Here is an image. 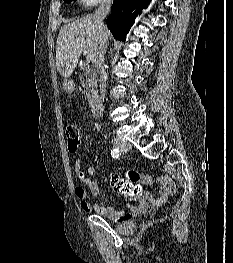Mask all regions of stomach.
Here are the masks:
<instances>
[{
    "label": "stomach",
    "instance_id": "0dacf381",
    "mask_svg": "<svg viewBox=\"0 0 233 263\" xmlns=\"http://www.w3.org/2000/svg\"><path fill=\"white\" fill-rule=\"evenodd\" d=\"M64 90L67 93H71L74 90V83L72 80H67L64 84Z\"/></svg>",
    "mask_w": 233,
    "mask_h": 263
}]
</instances>
